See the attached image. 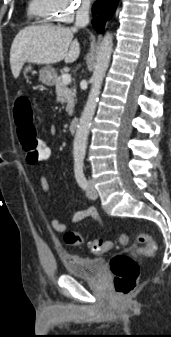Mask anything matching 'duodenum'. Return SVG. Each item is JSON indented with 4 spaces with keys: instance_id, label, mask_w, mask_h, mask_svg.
<instances>
[{
    "instance_id": "obj_1",
    "label": "duodenum",
    "mask_w": 171,
    "mask_h": 337,
    "mask_svg": "<svg viewBox=\"0 0 171 337\" xmlns=\"http://www.w3.org/2000/svg\"><path fill=\"white\" fill-rule=\"evenodd\" d=\"M78 126H79V120L77 118L72 119L68 126L69 131L71 133H75L78 130Z\"/></svg>"
}]
</instances>
